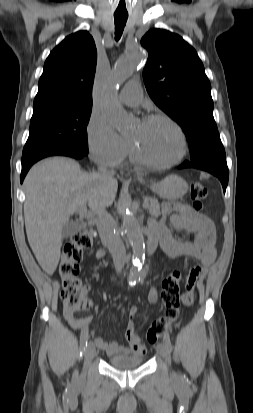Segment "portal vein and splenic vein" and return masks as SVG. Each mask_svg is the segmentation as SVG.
<instances>
[{"mask_svg": "<svg viewBox=\"0 0 253 413\" xmlns=\"http://www.w3.org/2000/svg\"><path fill=\"white\" fill-rule=\"evenodd\" d=\"M143 207H144V209H148V208H149L148 203H147L146 201L143 202ZM78 213H79V215H80L81 217H84V218H90L91 215H92L91 212L88 211L86 205L81 206V207L78 209Z\"/></svg>", "mask_w": 253, "mask_h": 413, "instance_id": "18ae733b", "label": "portal vein and splenic vein"}]
</instances>
